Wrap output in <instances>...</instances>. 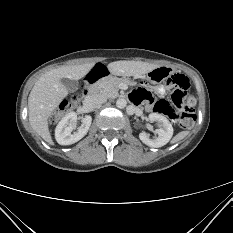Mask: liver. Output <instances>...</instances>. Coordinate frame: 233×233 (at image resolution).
Masks as SVG:
<instances>
[{
	"label": "liver",
	"mask_w": 233,
	"mask_h": 233,
	"mask_svg": "<svg viewBox=\"0 0 233 233\" xmlns=\"http://www.w3.org/2000/svg\"><path fill=\"white\" fill-rule=\"evenodd\" d=\"M94 63L74 66H61L43 74L33 86L28 97V115L32 129L47 143L53 144L48 127V118L68 95L62 84L63 78L79 80L94 67ZM111 74L117 76H139L146 74L158 65L139 61H116L108 64Z\"/></svg>",
	"instance_id": "1"
}]
</instances>
